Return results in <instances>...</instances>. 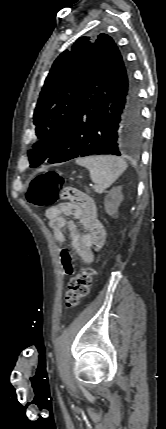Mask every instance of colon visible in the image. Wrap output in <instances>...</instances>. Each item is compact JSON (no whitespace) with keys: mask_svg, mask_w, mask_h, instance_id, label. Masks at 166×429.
<instances>
[{"mask_svg":"<svg viewBox=\"0 0 166 429\" xmlns=\"http://www.w3.org/2000/svg\"><path fill=\"white\" fill-rule=\"evenodd\" d=\"M26 197L31 204L37 207L49 206L60 199H68L81 206L92 201L80 190L65 186L63 177L55 171H46L35 176L29 185ZM93 275V268L88 266L82 268L76 276L69 280L64 294L66 307H75L88 295Z\"/></svg>","mask_w":166,"mask_h":429,"instance_id":"obj_1","label":"colon"}]
</instances>
